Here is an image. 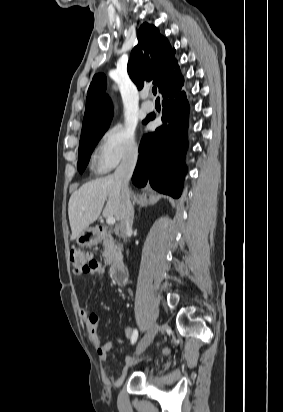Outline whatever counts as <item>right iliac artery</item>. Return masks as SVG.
I'll return each instance as SVG.
<instances>
[{
    "label": "right iliac artery",
    "mask_w": 283,
    "mask_h": 412,
    "mask_svg": "<svg viewBox=\"0 0 283 412\" xmlns=\"http://www.w3.org/2000/svg\"><path fill=\"white\" fill-rule=\"evenodd\" d=\"M137 338H138V331L137 329H135L131 337V343L134 344L137 341Z\"/></svg>",
    "instance_id": "82829eb1"
}]
</instances>
